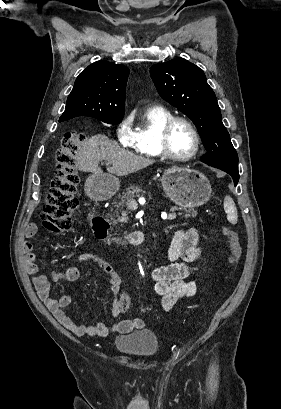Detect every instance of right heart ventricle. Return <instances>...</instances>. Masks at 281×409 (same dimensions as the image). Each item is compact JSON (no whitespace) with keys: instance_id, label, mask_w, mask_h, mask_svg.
<instances>
[{"instance_id":"right-heart-ventricle-1","label":"right heart ventricle","mask_w":281,"mask_h":409,"mask_svg":"<svg viewBox=\"0 0 281 409\" xmlns=\"http://www.w3.org/2000/svg\"><path fill=\"white\" fill-rule=\"evenodd\" d=\"M173 113L165 108H151L145 113L144 119L133 131L130 148L142 157L159 158L162 153L158 147V136L163 125Z\"/></svg>"}]
</instances>
